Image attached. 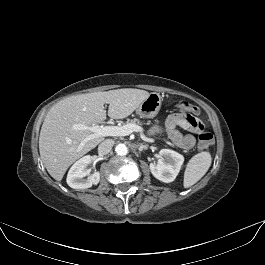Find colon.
<instances>
[{
  "label": "colon",
  "mask_w": 265,
  "mask_h": 265,
  "mask_svg": "<svg viewBox=\"0 0 265 265\" xmlns=\"http://www.w3.org/2000/svg\"><path fill=\"white\" fill-rule=\"evenodd\" d=\"M178 107L192 114H196L198 112L196 106L187 101H180L178 103ZM213 143H214V137L211 133L205 132L200 134L198 139L199 149L201 150L208 149L210 146L213 145Z\"/></svg>",
  "instance_id": "obj_1"
}]
</instances>
